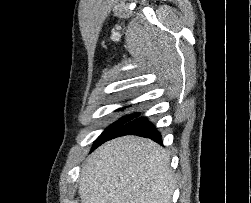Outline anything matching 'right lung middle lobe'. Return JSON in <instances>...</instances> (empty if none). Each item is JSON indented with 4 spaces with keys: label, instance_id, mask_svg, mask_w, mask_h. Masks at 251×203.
<instances>
[{
    "label": "right lung middle lobe",
    "instance_id": "dd1d6c3e",
    "mask_svg": "<svg viewBox=\"0 0 251 203\" xmlns=\"http://www.w3.org/2000/svg\"><path fill=\"white\" fill-rule=\"evenodd\" d=\"M140 113H135L132 115L125 116L123 118H120L118 121H116L114 124H112L109 128H107L95 141L94 146L92 150H94L96 147L104 143L108 140V138L123 124L126 122L132 120L133 118L137 117Z\"/></svg>",
    "mask_w": 251,
    "mask_h": 203
}]
</instances>
